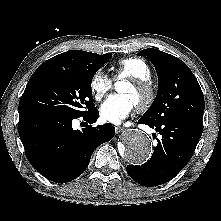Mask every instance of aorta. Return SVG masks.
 <instances>
[{
  "mask_svg": "<svg viewBox=\"0 0 221 221\" xmlns=\"http://www.w3.org/2000/svg\"><path fill=\"white\" fill-rule=\"evenodd\" d=\"M123 147L122 156L135 165L145 163L152 153L149 136L136 129H131L124 135Z\"/></svg>",
  "mask_w": 221,
  "mask_h": 221,
  "instance_id": "1",
  "label": "aorta"
}]
</instances>
